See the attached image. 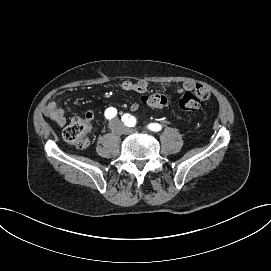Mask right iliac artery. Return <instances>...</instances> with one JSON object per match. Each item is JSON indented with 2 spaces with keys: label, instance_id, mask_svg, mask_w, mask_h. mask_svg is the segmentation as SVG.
<instances>
[{
  "label": "right iliac artery",
  "instance_id": "1",
  "mask_svg": "<svg viewBox=\"0 0 271 271\" xmlns=\"http://www.w3.org/2000/svg\"><path fill=\"white\" fill-rule=\"evenodd\" d=\"M116 114H117V110L113 107H110L105 111V117L107 119H112L113 117L116 116Z\"/></svg>",
  "mask_w": 271,
  "mask_h": 271
}]
</instances>
